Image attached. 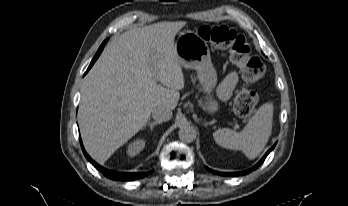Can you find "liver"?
<instances>
[{"label":"liver","mask_w":348,"mask_h":206,"mask_svg":"<svg viewBox=\"0 0 348 206\" xmlns=\"http://www.w3.org/2000/svg\"><path fill=\"white\" fill-rule=\"evenodd\" d=\"M185 25L159 22L126 31L85 77L79 125L84 146L98 163L143 129L153 109L176 108L185 79L174 40Z\"/></svg>","instance_id":"obj_1"}]
</instances>
